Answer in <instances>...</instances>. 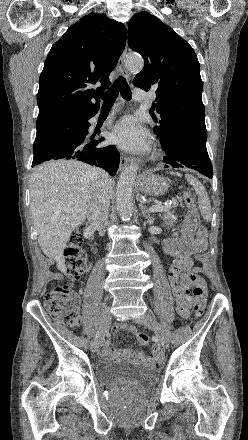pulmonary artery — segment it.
I'll return each mask as SVG.
<instances>
[{"label":"pulmonary artery","mask_w":248,"mask_h":440,"mask_svg":"<svg viewBox=\"0 0 248 440\" xmlns=\"http://www.w3.org/2000/svg\"><path fill=\"white\" fill-rule=\"evenodd\" d=\"M134 98L139 101L144 100L146 98L145 91H143L139 88L135 89L134 90Z\"/></svg>","instance_id":"obj_1"}]
</instances>
